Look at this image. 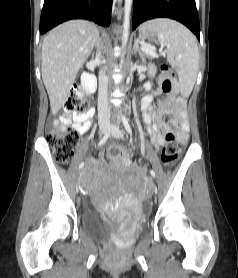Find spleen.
<instances>
[{
  "label": "spleen",
  "instance_id": "1",
  "mask_svg": "<svg viewBox=\"0 0 238 278\" xmlns=\"http://www.w3.org/2000/svg\"><path fill=\"white\" fill-rule=\"evenodd\" d=\"M141 27H147L157 33L159 43L166 46L168 62L177 69L183 94L189 95L199 69L196 37L185 26L170 19H154Z\"/></svg>",
  "mask_w": 238,
  "mask_h": 278
}]
</instances>
